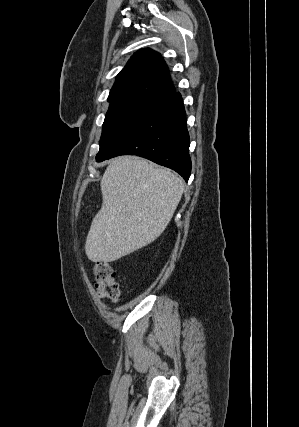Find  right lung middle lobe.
Here are the masks:
<instances>
[{"label": "right lung middle lobe", "instance_id": "obj_1", "mask_svg": "<svg viewBox=\"0 0 299 427\" xmlns=\"http://www.w3.org/2000/svg\"><path fill=\"white\" fill-rule=\"evenodd\" d=\"M110 107L103 123L99 153L108 149L128 131L155 102L136 98L109 100Z\"/></svg>", "mask_w": 299, "mask_h": 427}]
</instances>
